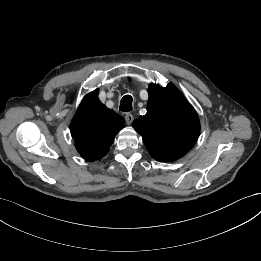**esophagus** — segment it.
I'll use <instances>...</instances> for the list:
<instances>
[{
    "instance_id": "esophagus-1",
    "label": "esophagus",
    "mask_w": 261,
    "mask_h": 261,
    "mask_svg": "<svg viewBox=\"0 0 261 261\" xmlns=\"http://www.w3.org/2000/svg\"><path fill=\"white\" fill-rule=\"evenodd\" d=\"M133 120H134V117L132 114L128 113L125 115V121L128 125L132 124Z\"/></svg>"
}]
</instances>
